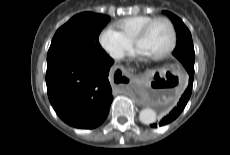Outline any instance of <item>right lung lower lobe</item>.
<instances>
[{
    "mask_svg": "<svg viewBox=\"0 0 230 155\" xmlns=\"http://www.w3.org/2000/svg\"><path fill=\"white\" fill-rule=\"evenodd\" d=\"M114 60H64L47 64L46 84L50 103L68 125L92 129L107 117L112 102L108 80Z\"/></svg>",
    "mask_w": 230,
    "mask_h": 155,
    "instance_id": "1",
    "label": "right lung lower lobe"
}]
</instances>
